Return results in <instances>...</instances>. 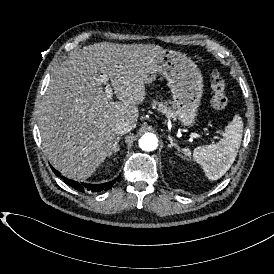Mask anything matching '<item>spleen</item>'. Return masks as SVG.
<instances>
[{"label":"spleen","instance_id":"obj_1","mask_svg":"<svg viewBox=\"0 0 274 274\" xmlns=\"http://www.w3.org/2000/svg\"><path fill=\"white\" fill-rule=\"evenodd\" d=\"M243 132V121L235 115L232 122L225 127V136L216 144L200 146L194 149L193 159L203 167L210 180L221 178L234 163L240 148ZM190 155L189 149L183 150Z\"/></svg>","mask_w":274,"mask_h":274}]
</instances>
